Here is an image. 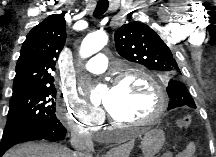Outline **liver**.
<instances>
[{
  "instance_id": "6515ba94",
  "label": "liver",
  "mask_w": 216,
  "mask_h": 157,
  "mask_svg": "<svg viewBox=\"0 0 216 157\" xmlns=\"http://www.w3.org/2000/svg\"><path fill=\"white\" fill-rule=\"evenodd\" d=\"M134 146V140L107 153V157L126 156ZM70 149L60 144L28 142L11 148L4 157H74Z\"/></svg>"
}]
</instances>
